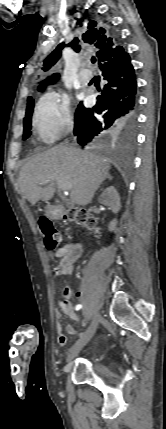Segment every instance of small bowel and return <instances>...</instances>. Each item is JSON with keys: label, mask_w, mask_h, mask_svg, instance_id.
Masks as SVG:
<instances>
[{"label": "small bowel", "mask_w": 166, "mask_h": 429, "mask_svg": "<svg viewBox=\"0 0 166 429\" xmlns=\"http://www.w3.org/2000/svg\"><path fill=\"white\" fill-rule=\"evenodd\" d=\"M83 253V245L78 242H70L65 244L63 247L59 248L55 257L59 259V263L54 269V274L57 277L71 275L73 272L75 262L81 257ZM65 295L67 296V291H65ZM81 293H77V297H80ZM62 314L67 316L68 318L78 321L79 317L74 311L72 304L68 301V299H64L59 303V309L56 310L55 316L57 319L56 329H57V339L61 346H65L67 344V337L65 336L62 326L59 322ZM66 331L70 335H75L76 330L73 326H66Z\"/></svg>", "instance_id": "1"}]
</instances>
